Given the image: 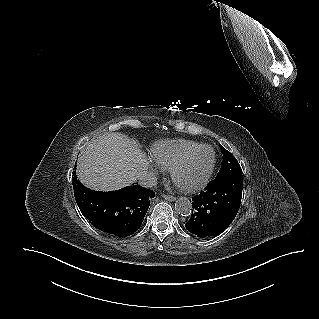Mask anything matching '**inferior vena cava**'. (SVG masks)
I'll use <instances>...</instances> for the list:
<instances>
[{"mask_svg": "<svg viewBox=\"0 0 319 319\" xmlns=\"http://www.w3.org/2000/svg\"><path fill=\"white\" fill-rule=\"evenodd\" d=\"M139 184L145 188H153L157 185V177L153 172H145L139 178Z\"/></svg>", "mask_w": 319, "mask_h": 319, "instance_id": "inferior-vena-cava-1", "label": "inferior vena cava"}]
</instances>
